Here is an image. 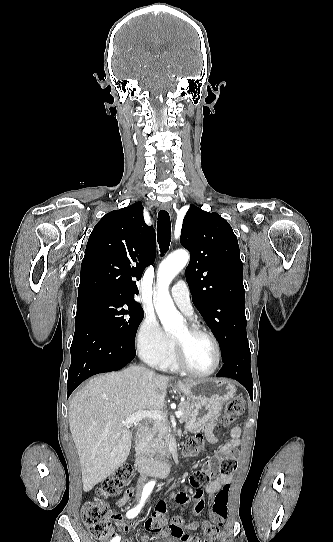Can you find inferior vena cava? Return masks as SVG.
Instances as JSON below:
<instances>
[{
	"label": "inferior vena cava",
	"instance_id": "obj_1",
	"mask_svg": "<svg viewBox=\"0 0 333 542\" xmlns=\"http://www.w3.org/2000/svg\"><path fill=\"white\" fill-rule=\"evenodd\" d=\"M147 374L148 376H154L155 372H150V370H147ZM147 480V476H146V472H144V470H140V478L137 482V490L138 492H141L142 488H143V484L144 482H146Z\"/></svg>",
	"mask_w": 333,
	"mask_h": 542
}]
</instances>
